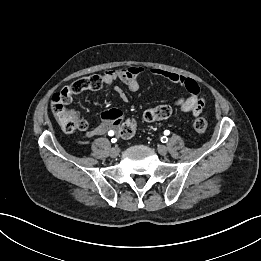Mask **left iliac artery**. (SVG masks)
<instances>
[{
  "instance_id": "1",
  "label": "left iliac artery",
  "mask_w": 261,
  "mask_h": 261,
  "mask_svg": "<svg viewBox=\"0 0 261 261\" xmlns=\"http://www.w3.org/2000/svg\"><path fill=\"white\" fill-rule=\"evenodd\" d=\"M169 133H170L169 130H165V131H164V134H165V135H169ZM161 141H162L163 143H166V142L168 141V138H167L166 136H164V137L161 138Z\"/></svg>"
}]
</instances>
